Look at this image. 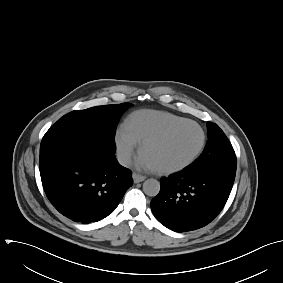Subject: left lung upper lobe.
<instances>
[{"label": "left lung upper lobe", "mask_w": 283, "mask_h": 283, "mask_svg": "<svg viewBox=\"0 0 283 283\" xmlns=\"http://www.w3.org/2000/svg\"><path fill=\"white\" fill-rule=\"evenodd\" d=\"M208 141L202 154L187 171H220L236 174V155L224 132L214 123L207 122Z\"/></svg>", "instance_id": "5c2ea615"}]
</instances>
